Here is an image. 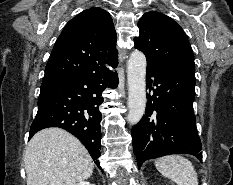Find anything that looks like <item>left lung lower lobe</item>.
<instances>
[{"instance_id": "left-lung-lower-lobe-1", "label": "left lung lower lobe", "mask_w": 233, "mask_h": 185, "mask_svg": "<svg viewBox=\"0 0 233 185\" xmlns=\"http://www.w3.org/2000/svg\"><path fill=\"white\" fill-rule=\"evenodd\" d=\"M194 75L147 66L145 115L133 126L132 144L138 168L149 159L187 153L202 159L193 113ZM155 86V88H153Z\"/></svg>"}]
</instances>
